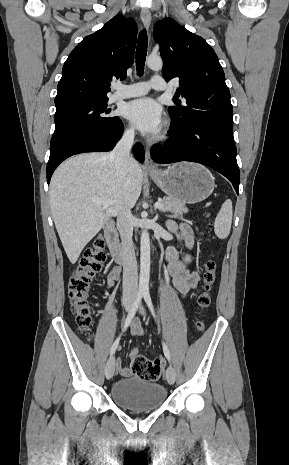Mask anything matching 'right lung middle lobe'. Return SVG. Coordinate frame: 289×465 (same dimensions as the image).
I'll return each mask as SVG.
<instances>
[{
	"label": "right lung middle lobe",
	"mask_w": 289,
	"mask_h": 465,
	"mask_svg": "<svg viewBox=\"0 0 289 465\" xmlns=\"http://www.w3.org/2000/svg\"><path fill=\"white\" fill-rule=\"evenodd\" d=\"M107 101L108 99L75 100L57 104L50 151L79 134L110 129L119 118L107 116L110 113Z\"/></svg>",
	"instance_id": "obj_1"
}]
</instances>
